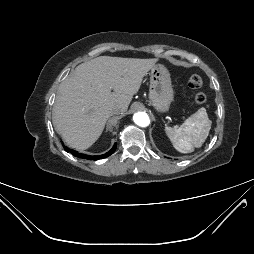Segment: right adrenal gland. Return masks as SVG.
<instances>
[{
  "label": "right adrenal gland",
  "mask_w": 254,
  "mask_h": 254,
  "mask_svg": "<svg viewBox=\"0 0 254 254\" xmlns=\"http://www.w3.org/2000/svg\"><path fill=\"white\" fill-rule=\"evenodd\" d=\"M109 122H110V120H108V122H107L106 132L109 131V130L111 129V127H109Z\"/></svg>",
  "instance_id": "2a0ac1e0"
}]
</instances>
